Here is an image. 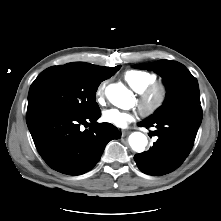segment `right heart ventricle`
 <instances>
[{"mask_svg":"<svg viewBox=\"0 0 221 221\" xmlns=\"http://www.w3.org/2000/svg\"><path fill=\"white\" fill-rule=\"evenodd\" d=\"M123 79L137 93L156 80L154 73L133 69L124 73Z\"/></svg>","mask_w":221,"mask_h":221,"instance_id":"right-heart-ventricle-1","label":"right heart ventricle"}]
</instances>
